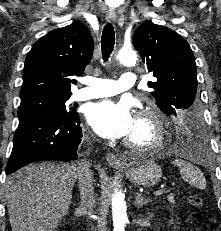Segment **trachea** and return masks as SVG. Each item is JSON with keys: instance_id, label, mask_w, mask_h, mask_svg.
Instances as JSON below:
<instances>
[{"instance_id": "trachea-1", "label": "trachea", "mask_w": 221, "mask_h": 231, "mask_svg": "<svg viewBox=\"0 0 221 231\" xmlns=\"http://www.w3.org/2000/svg\"><path fill=\"white\" fill-rule=\"evenodd\" d=\"M115 44V32L111 23H107L104 26L102 37H101V48L103 60L107 61L110 57Z\"/></svg>"}]
</instances>
